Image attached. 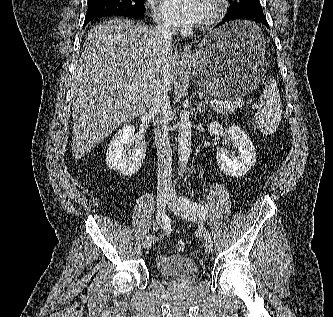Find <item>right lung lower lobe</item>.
Wrapping results in <instances>:
<instances>
[{"label":"right lung lower lobe","instance_id":"1","mask_svg":"<svg viewBox=\"0 0 333 317\" xmlns=\"http://www.w3.org/2000/svg\"><path fill=\"white\" fill-rule=\"evenodd\" d=\"M106 15H114V14H105V15H99V16H86L85 21H84V26L89 21L93 20L94 18H99V17L106 16ZM122 16H127V17L134 18V19H139L140 18V16H134V15H122Z\"/></svg>","mask_w":333,"mask_h":317}]
</instances>
